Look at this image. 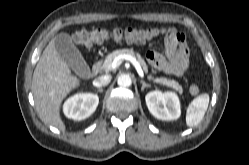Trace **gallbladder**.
Segmentation results:
<instances>
[{"label": "gallbladder", "instance_id": "obj_1", "mask_svg": "<svg viewBox=\"0 0 249 165\" xmlns=\"http://www.w3.org/2000/svg\"><path fill=\"white\" fill-rule=\"evenodd\" d=\"M55 48L62 60L77 75L86 77L89 74L90 68L88 64L68 34L61 33L55 37Z\"/></svg>", "mask_w": 249, "mask_h": 165}]
</instances>
